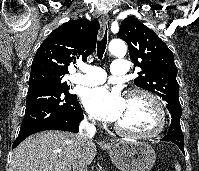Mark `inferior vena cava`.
Returning <instances> with one entry per match:
<instances>
[{
    "label": "inferior vena cava",
    "mask_w": 199,
    "mask_h": 171,
    "mask_svg": "<svg viewBox=\"0 0 199 171\" xmlns=\"http://www.w3.org/2000/svg\"><path fill=\"white\" fill-rule=\"evenodd\" d=\"M95 133L96 127L94 121L89 122L85 118L80 122L77 134V150L72 162L73 171H88V164L85 160V146L91 142Z\"/></svg>",
    "instance_id": "obj_1"
}]
</instances>
